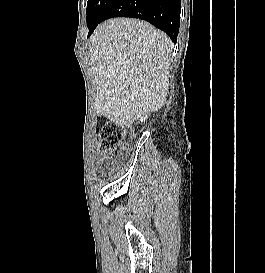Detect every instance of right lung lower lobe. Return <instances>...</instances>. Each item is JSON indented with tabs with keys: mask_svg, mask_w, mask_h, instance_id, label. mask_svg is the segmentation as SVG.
Segmentation results:
<instances>
[{
	"mask_svg": "<svg viewBox=\"0 0 265 273\" xmlns=\"http://www.w3.org/2000/svg\"><path fill=\"white\" fill-rule=\"evenodd\" d=\"M180 11L181 0H113L102 21L112 17L139 18L164 31L176 43ZM94 29L89 30L88 36Z\"/></svg>",
	"mask_w": 265,
	"mask_h": 273,
	"instance_id": "1",
	"label": "right lung lower lobe"
}]
</instances>
